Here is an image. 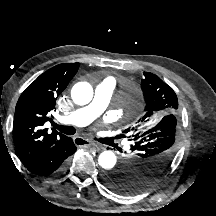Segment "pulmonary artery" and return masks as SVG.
<instances>
[{
    "instance_id": "pulmonary-artery-1",
    "label": "pulmonary artery",
    "mask_w": 216,
    "mask_h": 216,
    "mask_svg": "<svg viewBox=\"0 0 216 216\" xmlns=\"http://www.w3.org/2000/svg\"><path fill=\"white\" fill-rule=\"evenodd\" d=\"M114 89L115 81L112 78L104 79L96 86L92 101L64 116L62 122L72 126H86L90 124L105 111Z\"/></svg>"
}]
</instances>
